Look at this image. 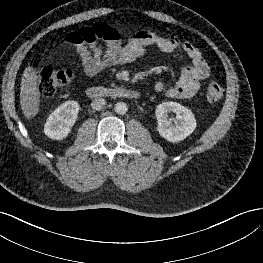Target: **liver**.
Here are the masks:
<instances>
[{
    "label": "liver",
    "instance_id": "obj_1",
    "mask_svg": "<svg viewBox=\"0 0 263 263\" xmlns=\"http://www.w3.org/2000/svg\"><path fill=\"white\" fill-rule=\"evenodd\" d=\"M38 76L32 66L25 68L20 84V104L24 116L30 120L39 111L40 92L37 85Z\"/></svg>",
    "mask_w": 263,
    "mask_h": 263
}]
</instances>
